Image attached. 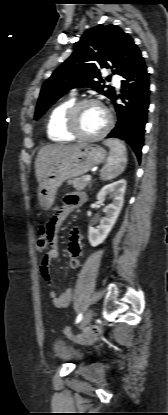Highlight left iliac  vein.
<instances>
[{"instance_id": "left-iliac-vein-1", "label": "left iliac vein", "mask_w": 168, "mask_h": 415, "mask_svg": "<svg viewBox=\"0 0 168 415\" xmlns=\"http://www.w3.org/2000/svg\"><path fill=\"white\" fill-rule=\"evenodd\" d=\"M92 317H93V310L92 309L87 310L81 320L80 329L85 328L90 323Z\"/></svg>"}]
</instances>
